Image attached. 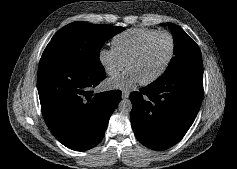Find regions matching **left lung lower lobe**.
<instances>
[{"instance_id":"obj_1","label":"left lung lower lobe","mask_w":237,"mask_h":169,"mask_svg":"<svg viewBox=\"0 0 237 169\" xmlns=\"http://www.w3.org/2000/svg\"><path fill=\"white\" fill-rule=\"evenodd\" d=\"M203 97V69L157 79L132 92L131 124L140 143L165 150L179 142L194 122Z\"/></svg>"}]
</instances>
